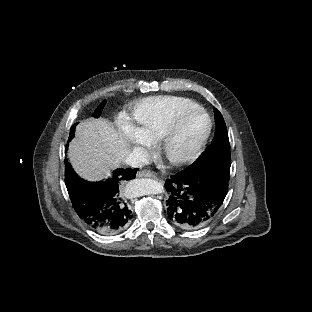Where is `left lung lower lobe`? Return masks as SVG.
Segmentation results:
<instances>
[{
    "mask_svg": "<svg viewBox=\"0 0 312 312\" xmlns=\"http://www.w3.org/2000/svg\"><path fill=\"white\" fill-rule=\"evenodd\" d=\"M231 159L187 167L166 180L169 222L184 229H197L219 212L228 191Z\"/></svg>",
    "mask_w": 312,
    "mask_h": 312,
    "instance_id": "obj_1",
    "label": "left lung lower lobe"
}]
</instances>
